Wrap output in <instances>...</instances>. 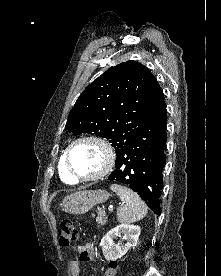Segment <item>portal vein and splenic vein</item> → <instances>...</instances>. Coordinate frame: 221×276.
Segmentation results:
<instances>
[{
  "label": "portal vein and splenic vein",
  "instance_id": "1",
  "mask_svg": "<svg viewBox=\"0 0 221 276\" xmlns=\"http://www.w3.org/2000/svg\"><path fill=\"white\" fill-rule=\"evenodd\" d=\"M110 212H112L113 211V209H112V207H109V209H108Z\"/></svg>",
  "mask_w": 221,
  "mask_h": 276
}]
</instances>
